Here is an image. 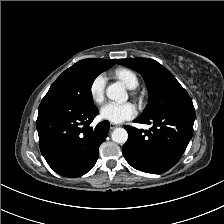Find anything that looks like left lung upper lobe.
I'll return each mask as SVG.
<instances>
[{"label": "left lung upper lobe", "mask_w": 224, "mask_h": 224, "mask_svg": "<svg viewBox=\"0 0 224 224\" xmlns=\"http://www.w3.org/2000/svg\"><path fill=\"white\" fill-rule=\"evenodd\" d=\"M118 64L132 68L140 73L149 90V101L139 116L151 118L164 110L176 106L192 104L187 91L175 77L160 63L149 58L120 59Z\"/></svg>", "instance_id": "1"}]
</instances>
